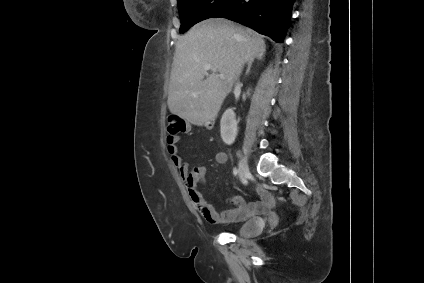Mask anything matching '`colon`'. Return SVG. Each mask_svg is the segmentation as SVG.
Listing matches in <instances>:
<instances>
[{
  "label": "colon",
  "instance_id": "1",
  "mask_svg": "<svg viewBox=\"0 0 424 283\" xmlns=\"http://www.w3.org/2000/svg\"><path fill=\"white\" fill-rule=\"evenodd\" d=\"M187 129L186 121L175 114L169 115L167 118V130L171 135L185 132Z\"/></svg>",
  "mask_w": 424,
  "mask_h": 283
}]
</instances>
